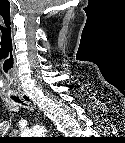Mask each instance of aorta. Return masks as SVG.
I'll list each match as a JSON object with an SVG mask.
<instances>
[{"instance_id":"obj_1","label":"aorta","mask_w":125,"mask_h":143,"mask_svg":"<svg viewBox=\"0 0 125 143\" xmlns=\"http://www.w3.org/2000/svg\"><path fill=\"white\" fill-rule=\"evenodd\" d=\"M45 132V128L41 126H35L34 128L28 130V135H42Z\"/></svg>"}]
</instances>
